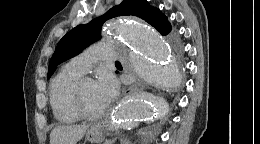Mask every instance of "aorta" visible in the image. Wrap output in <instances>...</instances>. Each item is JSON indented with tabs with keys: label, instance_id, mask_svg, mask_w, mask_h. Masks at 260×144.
I'll list each match as a JSON object with an SVG mask.
<instances>
[{
	"label": "aorta",
	"instance_id": "obj_1",
	"mask_svg": "<svg viewBox=\"0 0 260 144\" xmlns=\"http://www.w3.org/2000/svg\"><path fill=\"white\" fill-rule=\"evenodd\" d=\"M110 35L123 46L121 58L142 80L163 87L177 83L178 65L167 41L150 25L128 19L112 22ZM165 101L155 95L139 92L123 100L115 110L114 122L122 127H135L152 121Z\"/></svg>",
	"mask_w": 260,
	"mask_h": 144
}]
</instances>
